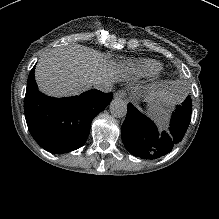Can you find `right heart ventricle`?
<instances>
[{
  "label": "right heart ventricle",
  "mask_w": 219,
  "mask_h": 219,
  "mask_svg": "<svg viewBox=\"0 0 219 219\" xmlns=\"http://www.w3.org/2000/svg\"><path fill=\"white\" fill-rule=\"evenodd\" d=\"M162 69V65L154 60H129L124 63V70L135 79L150 80Z\"/></svg>",
  "instance_id": "1"
}]
</instances>
